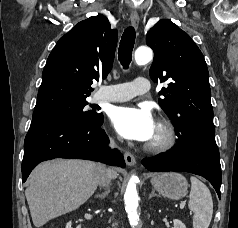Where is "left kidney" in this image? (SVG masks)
Segmentation results:
<instances>
[{
	"label": "left kidney",
	"mask_w": 238,
	"mask_h": 228,
	"mask_svg": "<svg viewBox=\"0 0 238 228\" xmlns=\"http://www.w3.org/2000/svg\"><path fill=\"white\" fill-rule=\"evenodd\" d=\"M173 224H174V228H186L185 224L178 219H174Z\"/></svg>",
	"instance_id": "1"
}]
</instances>
